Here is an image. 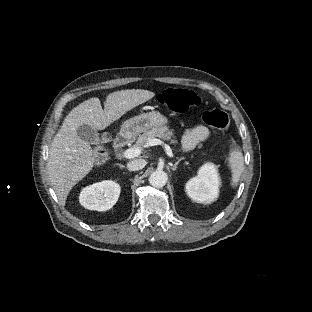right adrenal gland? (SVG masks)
<instances>
[{"mask_svg": "<svg viewBox=\"0 0 312 312\" xmlns=\"http://www.w3.org/2000/svg\"><path fill=\"white\" fill-rule=\"evenodd\" d=\"M120 168H121L122 170L129 171V170H128V169H126V167H125V166H123V165H120Z\"/></svg>", "mask_w": 312, "mask_h": 312, "instance_id": "1", "label": "right adrenal gland"}]
</instances>
